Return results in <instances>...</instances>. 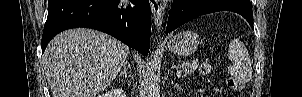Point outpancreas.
Returning <instances> with one entry per match:
<instances>
[{
    "mask_svg": "<svg viewBox=\"0 0 302 97\" xmlns=\"http://www.w3.org/2000/svg\"><path fill=\"white\" fill-rule=\"evenodd\" d=\"M199 63L197 61H184L179 68L184 70V75H189L197 70Z\"/></svg>",
    "mask_w": 302,
    "mask_h": 97,
    "instance_id": "cf45deb5",
    "label": "pancreas"
}]
</instances>
